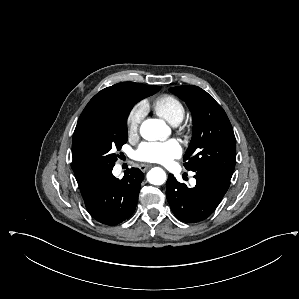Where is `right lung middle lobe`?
<instances>
[{
    "label": "right lung middle lobe",
    "instance_id": "obj_1",
    "mask_svg": "<svg viewBox=\"0 0 299 299\" xmlns=\"http://www.w3.org/2000/svg\"><path fill=\"white\" fill-rule=\"evenodd\" d=\"M160 90L150 86L140 99ZM134 103H119L95 118L73 136V169L78 185L112 168L117 160L115 150L127 142L126 119Z\"/></svg>",
    "mask_w": 299,
    "mask_h": 299
}]
</instances>
